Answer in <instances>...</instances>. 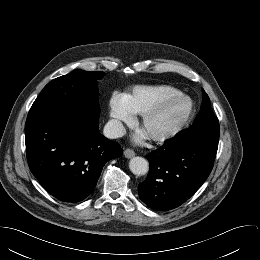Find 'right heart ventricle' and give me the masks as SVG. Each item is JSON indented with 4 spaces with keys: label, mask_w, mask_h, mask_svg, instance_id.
<instances>
[{
    "label": "right heart ventricle",
    "mask_w": 260,
    "mask_h": 260,
    "mask_svg": "<svg viewBox=\"0 0 260 260\" xmlns=\"http://www.w3.org/2000/svg\"><path fill=\"white\" fill-rule=\"evenodd\" d=\"M179 92L177 88L170 85H141L132 88L125 98L132 113L142 114L161 99Z\"/></svg>",
    "instance_id": "1"
}]
</instances>
